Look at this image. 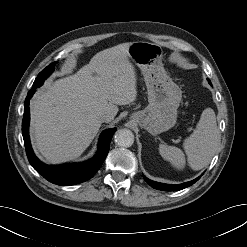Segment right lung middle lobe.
<instances>
[{
    "label": "right lung middle lobe",
    "mask_w": 247,
    "mask_h": 247,
    "mask_svg": "<svg viewBox=\"0 0 247 247\" xmlns=\"http://www.w3.org/2000/svg\"><path fill=\"white\" fill-rule=\"evenodd\" d=\"M55 64L56 62H53L48 65L43 71H41L35 79L33 86L40 87L43 84L44 80L54 71Z\"/></svg>",
    "instance_id": "obj_1"
}]
</instances>
